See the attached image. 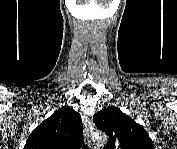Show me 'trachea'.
I'll use <instances>...</instances> for the list:
<instances>
[{
  "label": "trachea",
  "mask_w": 177,
  "mask_h": 149,
  "mask_svg": "<svg viewBox=\"0 0 177 149\" xmlns=\"http://www.w3.org/2000/svg\"><path fill=\"white\" fill-rule=\"evenodd\" d=\"M83 149H89V148H88V146H87V145H85Z\"/></svg>",
  "instance_id": "3493384b"
}]
</instances>
